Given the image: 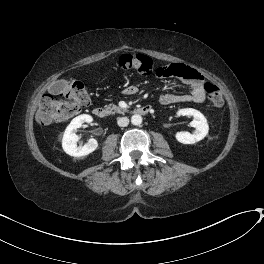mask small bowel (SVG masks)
Listing matches in <instances>:
<instances>
[{"instance_id": "obj_1", "label": "small bowel", "mask_w": 264, "mask_h": 264, "mask_svg": "<svg viewBox=\"0 0 264 264\" xmlns=\"http://www.w3.org/2000/svg\"><path fill=\"white\" fill-rule=\"evenodd\" d=\"M169 75L178 78L179 82L188 87L190 92L188 94H176L172 92L163 93L159 102L161 105H169L181 102H195L200 103L205 100V90L203 77L195 69L182 65V64H171L168 66ZM136 91V88L130 86L125 89L124 94L132 95Z\"/></svg>"}]
</instances>
